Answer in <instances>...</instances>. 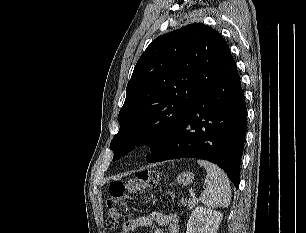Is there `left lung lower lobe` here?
Segmentation results:
<instances>
[{"mask_svg": "<svg viewBox=\"0 0 306 233\" xmlns=\"http://www.w3.org/2000/svg\"><path fill=\"white\" fill-rule=\"evenodd\" d=\"M246 117L244 92L230 53L164 148L149 162L202 158L224 169L238 188Z\"/></svg>", "mask_w": 306, "mask_h": 233, "instance_id": "obj_1", "label": "left lung lower lobe"}]
</instances>
